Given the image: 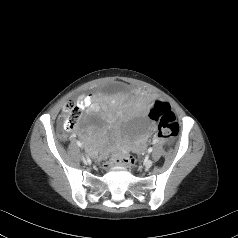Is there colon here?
<instances>
[{
    "label": "colon",
    "mask_w": 238,
    "mask_h": 238,
    "mask_svg": "<svg viewBox=\"0 0 238 238\" xmlns=\"http://www.w3.org/2000/svg\"><path fill=\"white\" fill-rule=\"evenodd\" d=\"M151 119L157 122V138L160 141H168L174 138L179 130V125L174 112L170 105L166 102H155L149 112ZM81 117V107L73 100L66 103L63 113L60 116L59 122L62 128L66 131L74 129ZM134 163V158L129 154L113 156L107 163L106 167L114 166H131Z\"/></svg>",
    "instance_id": "colon-1"
}]
</instances>
